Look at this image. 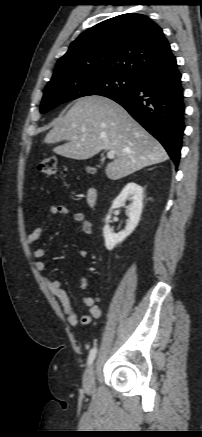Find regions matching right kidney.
<instances>
[{
  "mask_svg": "<svg viewBox=\"0 0 202 437\" xmlns=\"http://www.w3.org/2000/svg\"><path fill=\"white\" fill-rule=\"evenodd\" d=\"M126 200H130L131 204L127 207L128 217L125 230L114 234L108 224L111 218V211L116 208L123 207ZM143 209V188L134 183H128L117 198L113 201L109 214L105 219V226L103 228V236L105 239V246L108 250H112L117 244L121 243L128 237L137 227Z\"/></svg>",
  "mask_w": 202,
  "mask_h": 437,
  "instance_id": "obj_1",
  "label": "right kidney"
}]
</instances>
